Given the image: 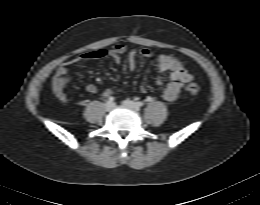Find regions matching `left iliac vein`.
I'll return each instance as SVG.
<instances>
[{"mask_svg":"<svg viewBox=\"0 0 260 205\" xmlns=\"http://www.w3.org/2000/svg\"><path fill=\"white\" fill-rule=\"evenodd\" d=\"M123 104L126 105V106H129V107H132L135 110L139 109V106L137 105V103H135L131 100H125V101H123Z\"/></svg>","mask_w":260,"mask_h":205,"instance_id":"4c4485c4","label":"left iliac vein"}]
</instances>
